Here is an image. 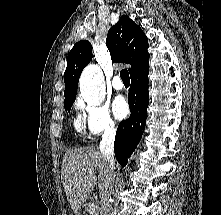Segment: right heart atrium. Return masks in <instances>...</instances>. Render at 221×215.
<instances>
[{
    "label": "right heart atrium",
    "instance_id": "1",
    "mask_svg": "<svg viewBox=\"0 0 221 215\" xmlns=\"http://www.w3.org/2000/svg\"><path fill=\"white\" fill-rule=\"evenodd\" d=\"M76 108L84 115V127L90 137L97 138L115 132L116 124L106 105L88 103L80 98Z\"/></svg>",
    "mask_w": 221,
    "mask_h": 215
}]
</instances>
